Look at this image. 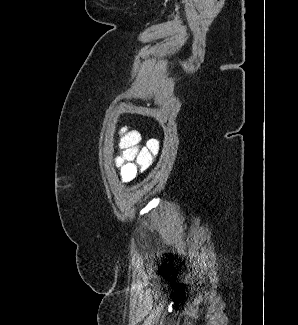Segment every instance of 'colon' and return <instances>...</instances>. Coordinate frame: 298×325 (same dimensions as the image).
I'll return each mask as SVG.
<instances>
[{"mask_svg":"<svg viewBox=\"0 0 298 325\" xmlns=\"http://www.w3.org/2000/svg\"><path fill=\"white\" fill-rule=\"evenodd\" d=\"M138 132L122 129L118 142L119 153L115 163L121 179L125 182L133 180L138 169L145 170L151 164L153 153L150 148L140 147Z\"/></svg>","mask_w":298,"mask_h":325,"instance_id":"colon-1","label":"colon"}]
</instances>
